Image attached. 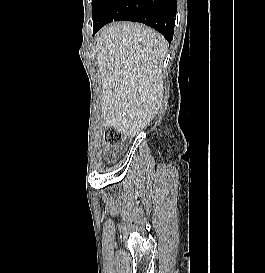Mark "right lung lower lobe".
Segmentation results:
<instances>
[{
    "instance_id": "obj_1",
    "label": "right lung lower lobe",
    "mask_w": 265,
    "mask_h": 273,
    "mask_svg": "<svg viewBox=\"0 0 265 273\" xmlns=\"http://www.w3.org/2000/svg\"><path fill=\"white\" fill-rule=\"evenodd\" d=\"M175 0H113L93 35L105 24L128 20L144 23L164 35L170 43L175 26Z\"/></svg>"
}]
</instances>
